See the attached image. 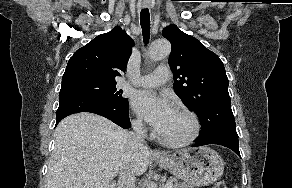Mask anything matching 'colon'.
I'll list each match as a JSON object with an SVG mask.
<instances>
[{"instance_id": "5ec220e1", "label": "colon", "mask_w": 292, "mask_h": 188, "mask_svg": "<svg viewBox=\"0 0 292 188\" xmlns=\"http://www.w3.org/2000/svg\"><path fill=\"white\" fill-rule=\"evenodd\" d=\"M212 188H227V186L225 182H218L215 185H213Z\"/></svg>"}]
</instances>
